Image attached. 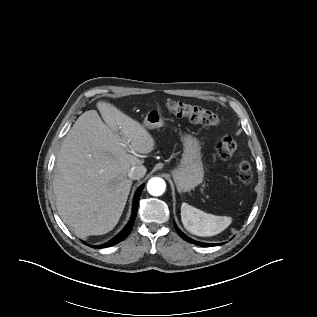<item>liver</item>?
I'll use <instances>...</instances> for the list:
<instances>
[{
  "instance_id": "liver-1",
  "label": "liver",
  "mask_w": 317,
  "mask_h": 317,
  "mask_svg": "<svg viewBox=\"0 0 317 317\" xmlns=\"http://www.w3.org/2000/svg\"><path fill=\"white\" fill-rule=\"evenodd\" d=\"M96 105L104 122L96 110L76 120L58 152L53 178L58 213L80 238L113 230L131 190L128 172L142 163L128 150L147 154L155 147L138 121L109 102Z\"/></svg>"
}]
</instances>
